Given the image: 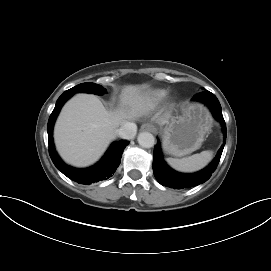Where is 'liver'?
Returning <instances> with one entry per match:
<instances>
[{"label": "liver", "mask_w": 271, "mask_h": 271, "mask_svg": "<svg viewBox=\"0 0 271 271\" xmlns=\"http://www.w3.org/2000/svg\"><path fill=\"white\" fill-rule=\"evenodd\" d=\"M140 89L126 86L122 90V107L115 111H108L93 94L81 93L71 98L62 108L54 128L61 157L77 167L95 163L115 137L116 128L135 116L134 104Z\"/></svg>", "instance_id": "obj_1"}]
</instances>
